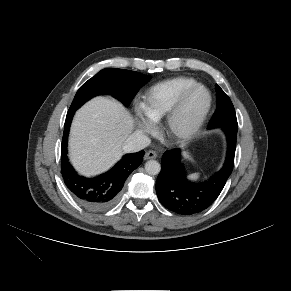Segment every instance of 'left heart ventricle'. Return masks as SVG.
Listing matches in <instances>:
<instances>
[{
	"label": "left heart ventricle",
	"mask_w": 291,
	"mask_h": 291,
	"mask_svg": "<svg viewBox=\"0 0 291 291\" xmlns=\"http://www.w3.org/2000/svg\"><path fill=\"white\" fill-rule=\"evenodd\" d=\"M207 103V95L205 91L198 90L193 93L188 101L186 102L184 108L182 109L176 126L179 129H186L190 127L195 120L198 118L202 110Z\"/></svg>",
	"instance_id": "1"
}]
</instances>
